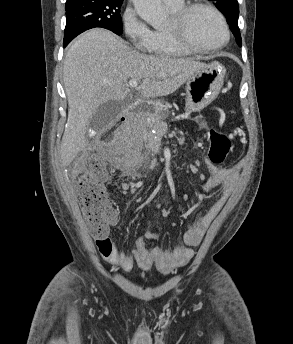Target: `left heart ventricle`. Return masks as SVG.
<instances>
[{
	"label": "left heart ventricle",
	"mask_w": 293,
	"mask_h": 344,
	"mask_svg": "<svg viewBox=\"0 0 293 344\" xmlns=\"http://www.w3.org/2000/svg\"><path fill=\"white\" fill-rule=\"evenodd\" d=\"M171 25V20L167 28ZM186 32L190 40L202 47H211L221 43L225 34L218 18L209 10H193L186 21Z\"/></svg>",
	"instance_id": "obj_1"
}]
</instances>
